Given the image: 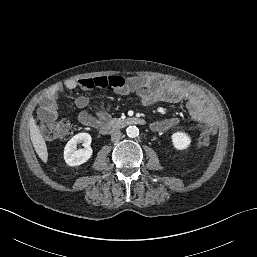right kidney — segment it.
<instances>
[{
  "instance_id": "obj_1",
  "label": "right kidney",
  "mask_w": 257,
  "mask_h": 257,
  "mask_svg": "<svg viewBox=\"0 0 257 257\" xmlns=\"http://www.w3.org/2000/svg\"><path fill=\"white\" fill-rule=\"evenodd\" d=\"M92 138L88 133H78L73 136L64 148V160L69 166H79L87 162L92 156L90 147ZM83 143L84 148L77 150V144Z\"/></svg>"
}]
</instances>
